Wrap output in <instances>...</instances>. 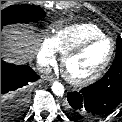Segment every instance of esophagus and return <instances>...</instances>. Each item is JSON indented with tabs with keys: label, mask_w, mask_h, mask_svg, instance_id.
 <instances>
[{
	"label": "esophagus",
	"mask_w": 122,
	"mask_h": 122,
	"mask_svg": "<svg viewBox=\"0 0 122 122\" xmlns=\"http://www.w3.org/2000/svg\"><path fill=\"white\" fill-rule=\"evenodd\" d=\"M44 79L47 81H53L55 78L52 75H46V76H44Z\"/></svg>",
	"instance_id": "obj_1"
}]
</instances>
